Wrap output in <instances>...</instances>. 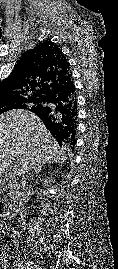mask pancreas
<instances>
[{
	"mask_svg": "<svg viewBox=\"0 0 118 269\" xmlns=\"http://www.w3.org/2000/svg\"><path fill=\"white\" fill-rule=\"evenodd\" d=\"M4 185H5V184L1 182V183H0V189H4Z\"/></svg>",
	"mask_w": 118,
	"mask_h": 269,
	"instance_id": "cf45deb5",
	"label": "pancreas"
}]
</instances>
